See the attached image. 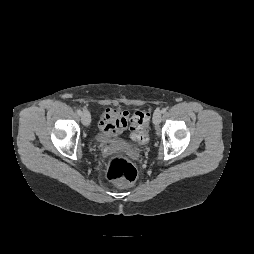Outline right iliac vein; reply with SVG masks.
Listing matches in <instances>:
<instances>
[{
    "instance_id": "63e3f726",
    "label": "right iliac vein",
    "mask_w": 254,
    "mask_h": 254,
    "mask_svg": "<svg viewBox=\"0 0 254 254\" xmlns=\"http://www.w3.org/2000/svg\"><path fill=\"white\" fill-rule=\"evenodd\" d=\"M81 120H82V123L85 125V126H88L90 124V121H91V118H90V114L88 111H84L81 115Z\"/></svg>"
}]
</instances>
